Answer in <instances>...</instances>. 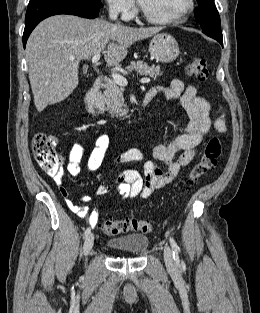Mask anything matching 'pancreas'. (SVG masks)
<instances>
[{"label": "pancreas", "instance_id": "obj_1", "mask_svg": "<svg viewBox=\"0 0 260 313\" xmlns=\"http://www.w3.org/2000/svg\"><path fill=\"white\" fill-rule=\"evenodd\" d=\"M126 69L130 72L136 71L140 75L150 76L152 78L162 75L159 66H149L143 61L132 62ZM103 93L98 96V101L101 109L108 111L111 116H115L123 120L128 113L123 98V90L118 86L114 80H108L104 86Z\"/></svg>", "mask_w": 260, "mask_h": 313}]
</instances>
